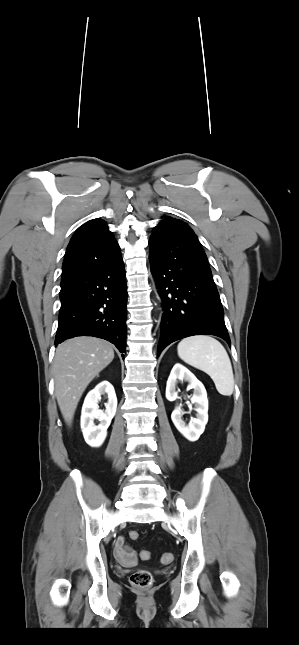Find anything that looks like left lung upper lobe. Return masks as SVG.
<instances>
[{
  "instance_id": "obj_1",
  "label": "left lung upper lobe",
  "mask_w": 299,
  "mask_h": 645,
  "mask_svg": "<svg viewBox=\"0 0 299 645\" xmlns=\"http://www.w3.org/2000/svg\"><path fill=\"white\" fill-rule=\"evenodd\" d=\"M170 219H172V218H171V217H165V218H164L162 221H160V222H165V221H168V220H170Z\"/></svg>"
}]
</instances>
